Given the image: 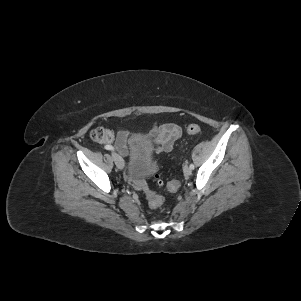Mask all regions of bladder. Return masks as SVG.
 <instances>
[{
    "label": "bladder",
    "mask_w": 301,
    "mask_h": 301,
    "mask_svg": "<svg viewBox=\"0 0 301 301\" xmlns=\"http://www.w3.org/2000/svg\"><path fill=\"white\" fill-rule=\"evenodd\" d=\"M152 158V148L148 142L136 141L128 157L127 175L137 182H141L149 171Z\"/></svg>",
    "instance_id": "obj_1"
}]
</instances>
